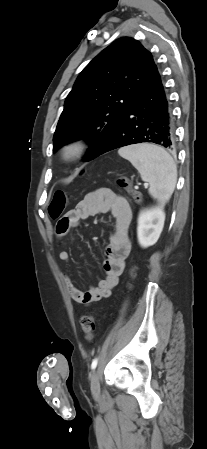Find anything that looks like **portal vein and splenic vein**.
<instances>
[{
	"instance_id": "obj_1",
	"label": "portal vein and splenic vein",
	"mask_w": 207,
	"mask_h": 449,
	"mask_svg": "<svg viewBox=\"0 0 207 449\" xmlns=\"http://www.w3.org/2000/svg\"><path fill=\"white\" fill-rule=\"evenodd\" d=\"M144 187H148V184H147V183H145V184H144Z\"/></svg>"
}]
</instances>
